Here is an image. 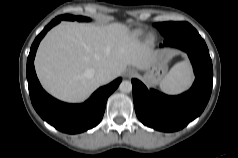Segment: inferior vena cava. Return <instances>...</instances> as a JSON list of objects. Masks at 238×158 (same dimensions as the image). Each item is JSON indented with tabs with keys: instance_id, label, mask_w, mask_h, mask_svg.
I'll use <instances>...</instances> for the list:
<instances>
[{
	"instance_id": "obj_1",
	"label": "inferior vena cava",
	"mask_w": 238,
	"mask_h": 158,
	"mask_svg": "<svg viewBox=\"0 0 238 158\" xmlns=\"http://www.w3.org/2000/svg\"><path fill=\"white\" fill-rule=\"evenodd\" d=\"M95 79L100 85L108 83L111 79L110 71L105 68L97 70L95 73Z\"/></svg>"
}]
</instances>
